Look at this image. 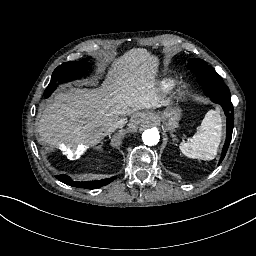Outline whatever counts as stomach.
Here are the masks:
<instances>
[{
	"label": "stomach",
	"instance_id": "1",
	"mask_svg": "<svg viewBox=\"0 0 256 256\" xmlns=\"http://www.w3.org/2000/svg\"><path fill=\"white\" fill-rule=\"evenodd\" d=\"M149 114L153 117V119L148 117L151 124L156 122L158 124H161L165 130L173 131L175 128L178 127L182 115V110L178 106L173 107L168 104V106L163 111L158 113H147L146 115L148 116Z\"/></svg>",
	"mask_w": 256,
	"mask_h": 256
}]
</instances>
